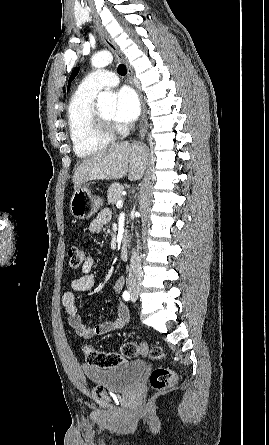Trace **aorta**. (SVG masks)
Wrapping results in <instances>:
<instances>
[{
	"instance_id": "obj_1",
	"label": "aorta",
	"mask_w": 269,
	"mask_h": 445,
	"mask_svg": "<svg viewBox=\"0 0 269 445\" xmlns=\"http://www.w3.org/2000/svg\"><path fill=\"white\" fill-rule=\"evenodd\" d=\"M113 61V56L110 52H99L91 58V63L96 68H102ZM116 104V98L114 95L108 92H101L97 98V107L100 109L112 108Z\"/></svg>"
}]
</instances>
